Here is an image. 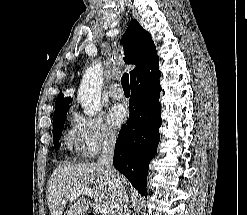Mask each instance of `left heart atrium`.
<instances>
[{
	"mask_svg": "<svg viewBox=\"0 0 247 215\" xmlns=\"http://www.w3.org/2000/svg\"><path fill=\"white\" fill-rule=\"evenodd\" d=\"M127 117L126 108L121 104L114 105L108 113V122L115 128L120 127Z\"/></svg>",
	"mask_w": 247,
	"mask_h": 215,
	"instance_id": "obj_1",
	"label": "left heart atrium"
}]
</instances>
